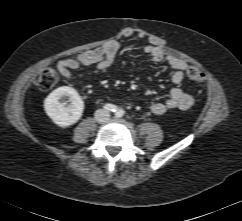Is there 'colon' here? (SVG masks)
<instances>
[{
  "label": "colon",
  "mask_w": 242,
  "mask_h": 221,
  "mask_svg": "<svg viewBox=\"0 0 242 221\" xmlns=\"http://www.w3.org/2000/svg\"><path fill=\"white\" fill-rule=\"evenodd\" d=\"M187 75L191 81L196 83H199L204 79V74L201 69L194 65L189 66L187 69ZM58 80L59 75L57 70L54 68H47L40 74L37 86L41 91H49L54 88Z\"/></svg>",
  "instance_id": "obj_1"
}]
</instances>
